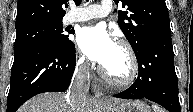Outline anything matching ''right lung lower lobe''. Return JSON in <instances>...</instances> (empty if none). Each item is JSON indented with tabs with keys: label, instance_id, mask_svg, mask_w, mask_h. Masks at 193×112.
I'll use <instances>...</instances> for the list:
<instances>
[{
	"label": "right lung lower lobe",
	"instance_id": "obj_1",
	"mask_svg": "<svg viewBox=\"0 0 193 112\" xmlns=\"http://www.w3.org/2000/svg\"><path fill=\"white\" fill-rule=\"evenodd\" d=\"M76 65L75 46L64 49L46 41L14 54L7 112L43 92L65 91Z\"/></svg>",
	"mask_w": 193,
	"mask_h": 112
}]
</instances>
